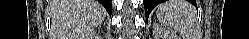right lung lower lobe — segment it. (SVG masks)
<instances>
[{
  "mask_svg": "<svg viewBox=\"0 0 249 39\" xmlns=\"http://www.w3.org/2000/svg\"><path fill=\"white\" fill-rule=\"evenodd\" d=\"M99 2L105 7V9L108 11V13L111 16V10H112L111 0H99Z\"/></svg>",
  "mask_w": 249,
  "mask_h": 39,
  "instance_id": "right-lung-lower-lobe-1",
  "label": "right lung lower lobe"
}]
</instances>
